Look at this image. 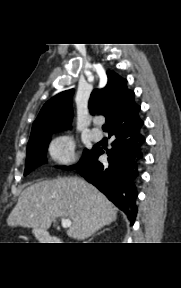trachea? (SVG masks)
<instances>
[{
  "label": "trachea",
  "instance_id": "obj_1",
  "mask_svg": "<svg viewBox=\"0 0 181 288\" xmlns=\"http://www.w3.org/2000/svg\"><path fill=\"white\" fill-rule=\"evenodd\" d=\"M108 128H109V127H108V125H106V124L103 125V127H102L103 131H108Z\"/></svg>",
  "mask_w": 181,
  "mask_h": 288
}]
</instances>
